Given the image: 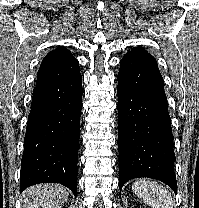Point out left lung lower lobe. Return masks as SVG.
<instances>
[{"label":"left lung lower lobe","mask_w":199,"mask_h":208,"mask_svg":"<svg viewBox=\"0 0 199 208\" xmlns=\"http://www.w3.org/2000/svg\"><path fill=\"white\" fill-rule=\"evenodd\" d=\"M119 186L139 177L177 191L173 134L159 69L124 56L118 73Z\"/></svg>","instance_id":"left-lung-lower-lobe-1"}]
</instances>
